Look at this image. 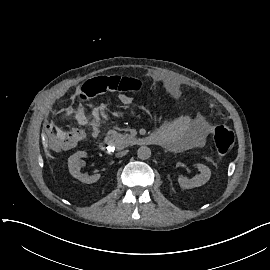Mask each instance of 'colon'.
<instances>
[{
  "instance_id": "colon-1",
  "label": "colon",
  "mask_w": 270,
  "mask_h": 270,
  "mask_svg": "<svg viewBox=\"0 0 270 270\" xmlns=\"http://www.w3.org/2000/svg\"><path fill=\"white\" fill-rule=\"evenodd\" d=\"M143 89V84L140 80L131 77L110 76L98 78L86 82L80 93L81 102H88L97 95L109 90H115L121 93L133 92L137 93ZM79 131H83L79 129ZM212 139L217 153L225 156L229 153L234 143V133L231 129L224 125H216L212 130Z\"/></svg>"
}]
</instances>
